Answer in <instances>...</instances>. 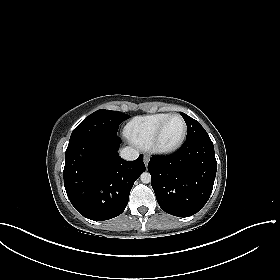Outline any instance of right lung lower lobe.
<instances>
[{
  "label": "right lung lower lobe",
  "instance_id": "right-lung-lower-lobe-1",
  "mask_svg": "<svg viewBox=\"0 0 280 280\" xmlns=\"http://www.w3.org/2000/svg\"><path fill=\"white\" fill-rule=\"evenodd\" d=\"M120 143L117 136H86L68 144L64 186L74 208L88 219L120 215L134 182L145 171L143 155L134 161L119 156Z\"/></svg>",
  "mask_w": 280,
  "mask_h": 280
}]
</instances>
